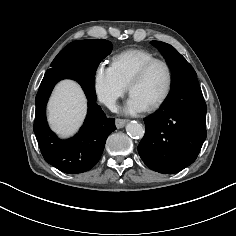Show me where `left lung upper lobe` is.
Wrapping results in <instances>:
<instances>
[{"instance_id": "left-lung-upper-lobe-1", "label": "left lung upper lobe", "mask_w": 236, "mask_h": 236, "mask_svg": "<svg viewBox=\"0 0 236 236\" xmlns=\"http://www.w3.org/2000/svg\"><path fill=\"white\" fill-rule=\"evenodd\" d=\"M152 43L161 51L171 69L172 87L181 80L197 76L192 66L173 46L160 41H152Z\"/></svg>"}]
</instances>
